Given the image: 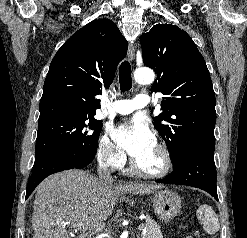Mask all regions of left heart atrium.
<instances>
[{"label": "left heart atrium", "mask_w": 247, "mask_h": 238, "mask_svg": "<svg viewBox=\"0 0 247 238\" xmlns=\"http://www.w3.org/2000/svg\"><path fill=\"white\" fill-rule=\"evenodd\" d=\"M116 143L134 159L155 145V137L140 118L123 123L113 131Z\"/></svg>", "instance_id": "left-heart-atrium-1"}]
</instances>
